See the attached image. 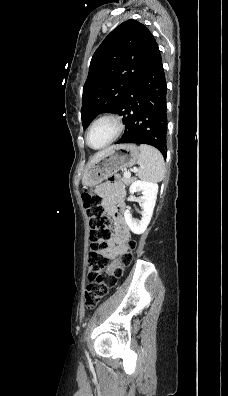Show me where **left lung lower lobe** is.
Segmentation results:
<instances>
[{"instance_id":"0a47b994","label":"left lung lower lobe","mask_w":228,"mask_h":396,"mask_svg":"<svg viewBox=\"0 0 228 396\" xmlns=\"http://www.w3.org/2000/svg\"><path fill=\"white\" fill-rule=\"evenodd\" d=\"M166 79L157 43L130 88L120 109L125 132L119 143H143L156 147L167 155Z\"/></svg>"}]
</instances>
